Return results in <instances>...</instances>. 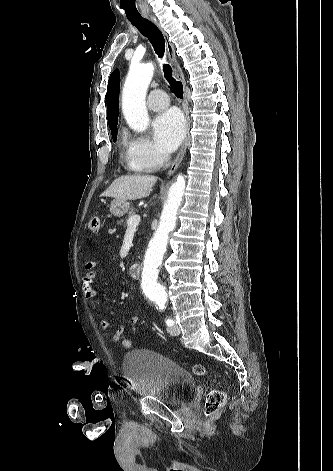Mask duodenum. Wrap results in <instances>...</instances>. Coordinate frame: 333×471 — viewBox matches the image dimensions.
Returning a JSON list of instances; mask_svg holds the SVG:
<instances>
[{
  "label": "duodenum",
  "instance_id": "410a0bca",
  "mask_svg": "<svg viewBox=\"0 0 333 471\" xmlns=\"http://www.w3.org/2000/svg\"><path fill=\"white\" fill-rule=\"evenodd\" d=\"M142 266L139 263H134L129 266L128 272L131 277L133 278H139L141 274Z\"/></svg>",
  "mask_w": 333,
  "mask_h": 471
}]
</instances>
